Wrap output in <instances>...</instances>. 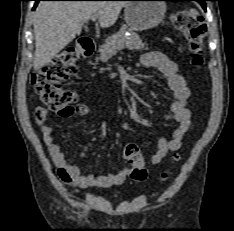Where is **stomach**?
I'll list each match as a JSON object with an SVG mask.
<instances>
[{"mask_svg":"<svg viewBox=\"0 0 234 231\" xmlns=\"http://www.w3.org/2000/svg\"><path fill=\"white\" fill-rule=\"evenodd\" d=\"M166 4L161 0H133L125 5L127 25L134 31H144L158 26L164 19Z\"/></svg>","mask_w":234,"mask_h":231,"instance_id":"stomach-1","label":"stomach"}]
</instances>
